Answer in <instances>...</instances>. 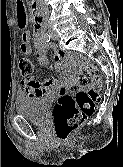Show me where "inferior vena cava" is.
I'll list each match as a JSON object with an SVG mask.
<instances>
[{
  "instance_id": "602c4592",
  "label": "inferior vena cava",
  "mask_w": 123,
  "mask_h": 167,
  "mask_svg": "<svg viewBox=\"0 0 123 167\" xmlns=\"http://www.w3.org/2000/svg\"><path fill=\"white\" fill-rule=\"evenodd\" d=\"M40 2V6L42 8V10L44 11L45 15H49V9H48V5L46 3L45 0H38Z\"/></svg>"
}]
</instances>
